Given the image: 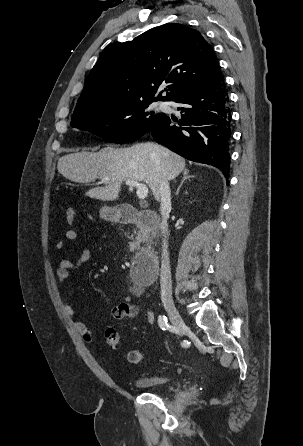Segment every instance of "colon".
Instances as JSON below:
<instances>
[{"mask_svg":"<svg viewBox=\"0 0 303 446\" xmlns=\"http://www.w3.org/2000/svg\"><path fill=\"white\" fill-rule=\"evenodd\" d=\"M66 221L69 225L74 223V211L71 208L66 210ZM104 339L109 347L116 348L119 343V334L115 328L109 327L106 329ZM128 360L132 364H139L143 360V353L140 350L133 349L128 353Z\"/></svg>","mask_w":303,"mask_h":446,"instance_id":"1","label":"colon"}]
</instances>
